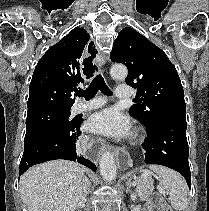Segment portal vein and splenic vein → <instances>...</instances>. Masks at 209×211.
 Returning <instances> with one entry per match:
<instances>
[{
	"instance_id": "portal-vein-and-splenic-vein-1",
	"label": "portal vein and splenic vein",
	"mask_w": 209,
	"mask_h": 211,
	"mask_svg": "<svg viewBox=\"0 0 209 211\" xmlns=\"http://www.w3.org/2000/svg\"><path fill=\"white\" fill-rule=\"evenodd\" d=\"M136 184V183H135ZM159 191L161 192V193H165V191L159 186Z\"/></svg>"
}]
</instances>
